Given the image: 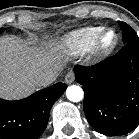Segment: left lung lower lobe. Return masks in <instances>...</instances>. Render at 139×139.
I'll use <instances>...</instances> for the list:
<instances>
[{
	"label": "left lung lower lobe",
	"mask_w": 139,
	"mask_h": 139,
	"mask_svg": "<svg viewBox=\"0 0 139 139\" xmlns=\"http://www.w3.org/2000/svg\"><path fill=\"white\" fill-rule=\"evenodd\" d=\"M75 80L83 85L84 113L97 132L124 135L139 125V41L90 67L77 65Z\"/></svg>",
	"instance_id": "1"
}]
</instances>
